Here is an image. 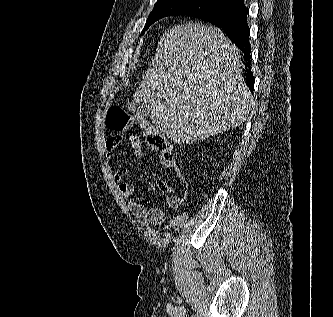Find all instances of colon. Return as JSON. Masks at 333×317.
<instances>
[{
	"label": "colon",
	"instance_id": "obj_1",
	"mask_svg": "<svg viewBox=\"0 0 333 317\" xmlns=\"http://www.w3.org/2000/svg\"><path fill=\"white\" fill-rule=\"evenodd\" d=\"M107 128L115 133H120L133 126H144L142 119L129 113L122 107L112 106L106 115ZM145 139L147 146L160 154L162 162L167 166H174L172 149L164 136L159 132L146 128ZM183 182L185 180L182 178Z\"/></svg>",
	"mask_w": 333,
	"mask_h": 317
}]
</instances>
